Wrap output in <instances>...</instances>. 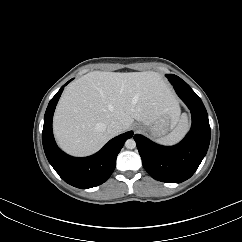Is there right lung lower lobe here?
<instances>
[{"instance_id":"1","label":"right lung lower lobe","mask_w":242,"mask_h":242,"mask_svg":"<svg viewBox=\"0 0 242 242\" xmlns=\"http://www.w3.org/2000/svg\"><path fill=\"white\" fill-rule=\"evenodd\" d=\"M65 85L51 99L45 112L42 132L44 151L49 163L65 182L81 189L92 188L110 177L115 169L118 153L124 142L133 136V132L129 131L111 139L99 152L89 157L75 158L62 152L53 137L52 118Z\"/></svg>"}]
</instances>
